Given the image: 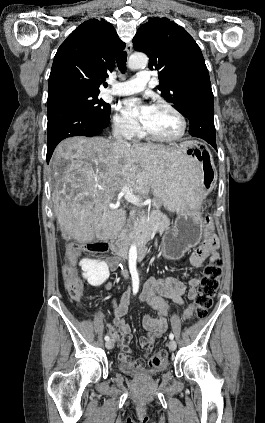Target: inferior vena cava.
Masks as SVG:
<instances>
[{
    "label": "inferior vena cava",
    "mask_w": 265,
    "mask_h": 423,
    "mask_svg": "<svg viewBox=\"0 0 265 423\" xmlns=\"http://www.w3.org/2000/svg\"><path fill=\"white\" fill-rule=\"evenodd\" d=\"M113 136H114V138L116 139V141H117L118 143H120V144H125V145H128V144H129L127 141L123 140V138H122V136H121V133H120V131H119L118 129H115V131H114V133H113ZM121 273H122V275H123L125 278H128V272H127V270H123V269H122Z\"/></svg>",
    "instance_id": "1"
}]
</instances>
